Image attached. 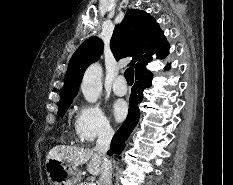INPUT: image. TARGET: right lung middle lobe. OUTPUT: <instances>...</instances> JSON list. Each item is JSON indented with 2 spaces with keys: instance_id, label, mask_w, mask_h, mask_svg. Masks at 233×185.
Masks as SVG:
<instances>
[{
  "instance_id": "right-lung-middle-lobe-1",
  "label": "right lung middle lobe",
  "mask_w": 233,
  "mask_h": 185,
  "mask_svg": "<svg viewBox=\"0 0 233 185\" xmlns=\"http://www.w3.org/2000/svg\"><path fill=\"white\" fill-rule=\"evenodd\" d=\"M72 101H64V102H60L59 108H58V115L59 116H63L66 112V110L68 109V107L70 106Z\"/></svg>"
}]
</instances>
